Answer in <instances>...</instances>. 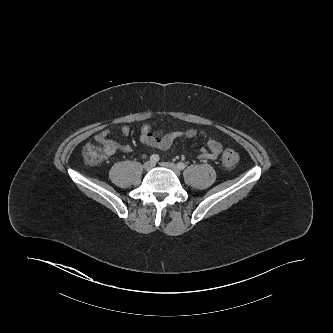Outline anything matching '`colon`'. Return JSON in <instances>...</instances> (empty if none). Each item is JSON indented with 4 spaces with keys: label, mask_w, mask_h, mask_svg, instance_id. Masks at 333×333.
<instances>
[{
    "label": "colon",
    "mask_w": 333,
    "mask_h": 333,
    "mask_svg": "<svg viewBox=\"0 0 333 333\" xmlns=\"http://www.w3.org/2000/svg\"><path fill=\"white\" fill-rule=\"evenodd\" d=\"M83 158L88 164H98L107 155V146L103 142L87 144L82 151ZM222 162L227 167H234L239 162V155L232 149H227L222 155Z\"/></svg>",
    "instance_id": "1"
}]
</instances>
